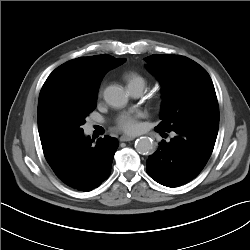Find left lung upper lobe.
Listing matches in <instances>:
<instances>
[{"label": "left lung upper lobe", "instance_id": "obj_1", "mask_svg": "<svg viewBox=\"0 0 250 250\" xmlns=\"http://www.w3.org/2000/svg\"><path fill=\"white\" fill-rule=\"evenodd\" d=\"M148 70L162 86V122L159 131L219 124V109L212 80L195 61L176 55L154 54L145 58Z\"/></svg>", "mask_w": 250, "mask_h": 250}]
</instances>
